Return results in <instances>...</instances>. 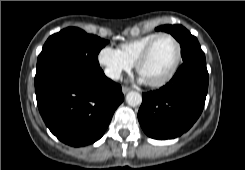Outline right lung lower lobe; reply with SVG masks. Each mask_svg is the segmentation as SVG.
<instances>
[{
    "label": "right lung lower lobe",
    "instance_id": "98d812e1",
    "mask_svg": "<svg viewBox=\"0 0 245 170\" xmlns=\"http://www.w3.org/2000/svg\"><path fill=\"white\" fill-rule=\"evenodd\" d=\"M35 92L46 126L74 147L99 140L124 100L121 86L100 67L61 68L35 83Z\"/></svg>",
    "mask_w": 245,
    "mask_h": 170
}]
</instances>
